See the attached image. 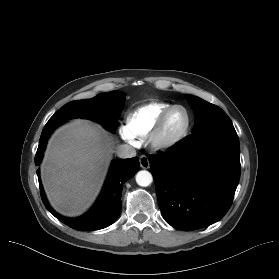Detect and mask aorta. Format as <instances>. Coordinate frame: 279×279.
Instances as JSON below:
<instances>
[{"label":"aorta","instance_id":"aorta-1","mask_svg":"<svg viewBox=\"0 0 279 279\" xmlns=\"http://www.w3.org/2000/svg\"><path fill=\"white\" fill-rule=\"evenodd\" d=\"M136 182L139 186L142 187H147L149 186L152 181H153V177L152 174L149 171L146 170H141L136 174Z\"/></svg>","mask_w":279,"mask_h":279}]
</instances>
